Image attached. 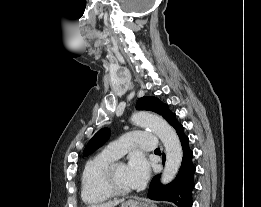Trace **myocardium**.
Listing matches in <instances>:
<instances>
[{"instance_id":"f54148a6","label":"myocardium","mask_w":261,"mask_h":207,"mask_svg":"<svg viewBox=\"0 0 261 207\" xmlns=\"http://www.w3.org/2000/svg\"><path fill=\"white\" fill-rule=\"evenodd\" d=\"M120 164H123V162L119 160H115L112 163H110L104 171V175H103L104 187L111 196H125L131 193L132 191V189H121L115 183L114 180L115 169Z\"/></svg>"}]
</instances>
